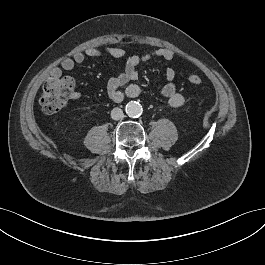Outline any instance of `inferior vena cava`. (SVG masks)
Segmentation results:
<instances>
[{
    "label": "inferior vena cava",
    "mask_w": 265,
    "mask_h": 265,
    "mask_svg": "<svg viewBox=\"0 0 265 265\" xmlns=\"http://www.w3.org/2000/svg\"><path fill=\"white\" fill-rule=\"evenodd\" d=\"M124 117L123 111L120 108H114L111 111V118L113 120H120Z\"/></svg>",
    "instance_id": "1"
}]
</instances>
